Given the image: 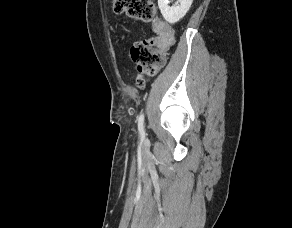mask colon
<instances>
[{"label":"colon","mask_w":292,"mask_h":228,"mask_svg":"<svg viewBox=\"0 0 292 228\" xmlns=\"http://www.w3.org/2000/svg\"><path fill=\"white\" fill-rule=\"evenodd\" d=\"M115 14L142 22H151L155 18V7L150 0H113L111 4ZM156 37L137 41L131 48V57L140 74L154 76L165 63V54L173 41V35L168 26L161 22H154ZM138 87H143L145 79L138 76Z\"/></svg>","instance_id":"colon-1"}]
</instances>
